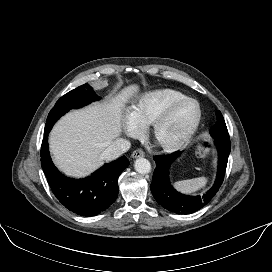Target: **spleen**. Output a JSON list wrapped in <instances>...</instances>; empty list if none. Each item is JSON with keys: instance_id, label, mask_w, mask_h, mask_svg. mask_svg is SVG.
I'll return each instance as SVG.
<instances>
[{"instance_id": "spleen-1", "label": "spleen", "mask_w": 272, "mask_h": 272, "mask_svg": "<svg viewBox=\"0 0 272 272\" xmlns=\"http://www.w3.org/2000/svg\"><path fill=\"white\" fill-rule=\"evenodd\" d=\"M206 183H207V178L198 177V178L175 182L174 186L177 190L183 193L189 194L204 187Z\"/></svg>"}]
</instances>
